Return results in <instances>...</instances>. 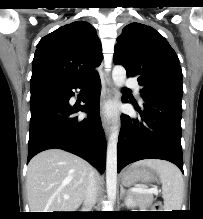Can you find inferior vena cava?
Instances as JSON below:
<instances>
[{
	"instance_id": "1",
	"label": "inferior vena cava",
	"mask_w": 203,
	"mask_h": 219,
	"mask_svg": "<svg viewBox=\"0 0 203 219\" xmlns=\"http://www.w3.org/2000/svg\"><path fill=\"white\" fill-rule=\"evenodd\" d=\"M97 191H98V186H97V180H96V173L93 170L91 172L88 185L86 188V192H85V197H84V206L88 209L87 211H89L95 205Z\"/></svg>"
}]
</instances>
